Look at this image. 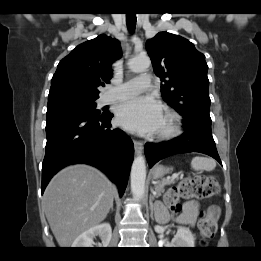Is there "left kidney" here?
<instances>
[{"label":"left kidney","mask_w":261,"mask_h":261,"mask_svg":"<svg viewBox=\"0 0 261 261\" xmlns=\"http://www.w3.org/2000/svg\"><path fill=\"white\" fill-rule=\"evenodd\" d=\"M172 247L192 248L195 246V238L192 232L185 227H178L177 233L171 241Z\"/></svg>","instance_id":"obj_1"}]
</instances>
